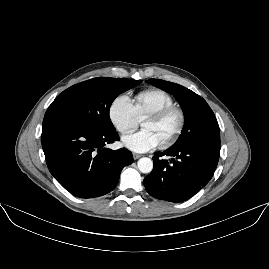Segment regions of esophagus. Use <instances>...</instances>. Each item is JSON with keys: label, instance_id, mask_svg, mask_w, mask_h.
Wrapping results in <instances>:
<instances>
[{"label": "esophagus", "instance_id": "1", "mask_svg": "<svg viewBox=\"0 0 269 269\" xmlns=\"http://www.w3.org/2000/svg\"><path fill=\"white\" fill-rule=\"evenodd\" d=\"M133 157H134V160H137V159L141 158L142 155L141 154L133 153Z\"/></svg>", "mask_w": 269, "mask_h": 269}]
</instances>
